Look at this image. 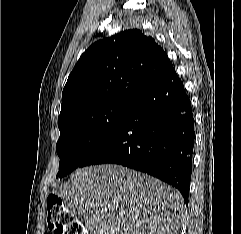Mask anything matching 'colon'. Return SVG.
<instances>
[{"label":"colon","mask_w":241,"mask_h":234,"mask_svg":"<svg viewBox=\"0 0 241 234\" xmlns=\"http://www.w3.org/2000/svg\"><path fill=\"white\" fill-rule=\"evenodd\" d=\"M48 226L54 234H86L83 225L56 195L47 200Z\"/></svg>","instance_id":"5ec220e1"}]
</instances>
